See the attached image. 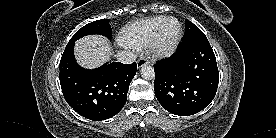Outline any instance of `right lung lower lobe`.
Wrapping results in <instances>:
<instances>
[{
	"instance_id": "obj_1",
	"label": "right lung lower lobe",
	"mask_w": 276,
	"mask_h": 138,
	"mask_svg": "<svg viewBox=\"0 0 276 138\" xmlns=\"http://www.w3.org/2000/svg\"><path fill=\"white\" fill-rule=\"evenodd\" d=\"M74 43L69 42L60 61V85L66 102L80 115L90 120L115 116L127 101L136 63H106L88 70L74 58Z\"/></svg>"
}]
</instances>
